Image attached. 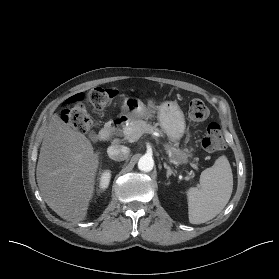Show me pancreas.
<instances>
[{
  "label": "pancreas",
  "mask_w": 279,
  "mask_h": 279,
  "mask_svg": "<svg viewBox=\"0 0 279 279\" xmlns=\"http://www.w3.org/2000/svg\"><path fill=\"white\" fill-rule=\"evenodd\" d=\"M148 115H146L147 117ZM153 131L158 132L159 136H162V132L159 131L155 126L148 124L146 121L142 119H138L135 121L129 122L122 129L117 131V134L120 136H124L125 139L129 141H136L139 137L144 133H151ZM129 133V134H128ZM166 150L169 153L170 157L175 161H177V149L171 146H166Z\"/></svg>",
  "instance_id": "cf45deb5"
}]
</instances>
